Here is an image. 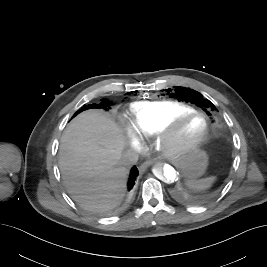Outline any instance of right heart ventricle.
<instances>
[{"label":"right heart ventricle","instance_id":"right-heart-ventricle-1","mask_svg":"<svg viewBox=\"0 0 267 267\" xmlns=\"http://www.w3.org/2000/svg\"><path fill=\"white\" fill-rule=\"evenodd\" d=\"M194 110L189 104L180 101H140L130 105L129 116L137 133L152 137L167 121Z\"/></svg>","mask_w":267,"mask_h":267}]
</instances>
